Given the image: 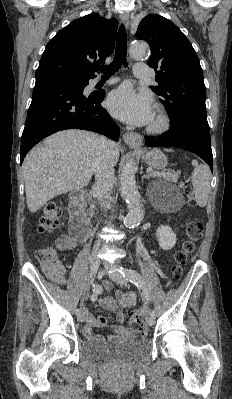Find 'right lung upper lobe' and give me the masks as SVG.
I'll use <instances>...</instances> for the list:
<instances>
[{
  "label": "right lung upper lobe",
  "instance_id": "right-lung-upper-lobe-1",
  "mask_svg": "<svg viewBox=\"0 0 232 399\" xmlns=\"http://www.w3.org/2000/svg\"><path fill=\"white\" fill-rule=\"evenodd\" d=\"M116 30V19L106 20L98 13L72 21L47 44L36 79L95 78L97 62L105 63V59L114 50Z\"/></svg>",
  "mask_w": 232,
  "mask_h": 399
}]
</instances>
